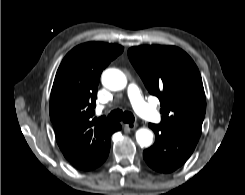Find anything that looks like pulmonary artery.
Here are the masks:
<instances>
[{
  "label": "pulmonary artery",
  "mask_w": 245,
  "mask_h": 195,
  "mask_svg": "<svg viewBox=\"0 0 245 195\" xmlns=\"http://www.w3.org/2000/svg\"><path fill=\"white\" fill-rule=\"evenodd\" d=\"M127 92L133 108L142 118L154 123L160 121L159 113L143 100L139 88L134 83L129 84Z\"/></svg>",
  "instance_id": "obj_1"
}]
</instances>
